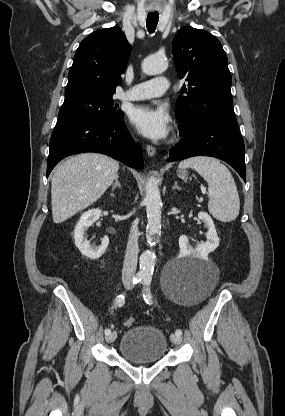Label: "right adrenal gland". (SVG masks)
Segmentation results:
<instances>
[{
  "label": "right adrenal gland",
  "instance_id": "2a0ac1e0",
  "mask_svg": "<svg viewBox=\"0 0 285 416\" xmlns=\"http://www.w3.org/2000/svg\"><path fill=\"white\" fill-rule=\"evenodd\" d=\"M118 178H119V176L117 174V176L115 178V182H114V184H112V190H116V188H121V184H120Z\"/></svg>",
  "mask_w": 285,
  "mask_h": 416
}]
</instances>
